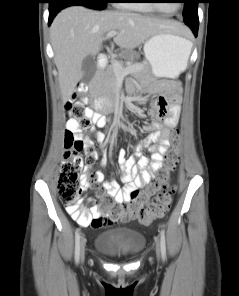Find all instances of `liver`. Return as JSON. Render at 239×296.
Wrapping results in <instances>:
<instances>
[{
  "instance_id": "obj_1",
  "label": "liver",
  "mask_w": 239,
  "mask_h": 296,
  "mask_svg": "<svg viewBox=\"0 0 239 296\" xmlns=\"http://www.w3.org/2000/svg\"><path fill=\"white\" fill-rule=\"evenodd\" d=\"M183 30L178 22L138 13L97 11L83 6L63 9L50 28L63 102L69 100L83 77V60L99 53L108 32H118L114 43L122 49H134L155 34Z\"/></svg>"
}]
</instances>
